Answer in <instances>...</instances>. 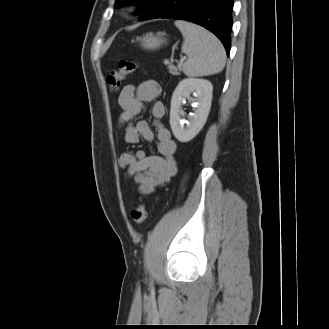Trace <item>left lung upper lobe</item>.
I'll use <instances>...</instances> for the list:
<instances>
[{
    "mask_svg": "<svg viewBox=\"0 0 329 329\" xmlns=\"http://www.w3.org/2000/svg\"><path fill=\"white\" fill-rule=\"evenodd\" d=\"M156 0H116L115 7H119L122 5L139 3L142 4L144 9L150 7Z\"/></svg>",
    "mask_w": 329,
    "mask_h": 329,
    "instance_id": "obj_1",
    "label": "left lung upper lobe"
}]
</instances>
